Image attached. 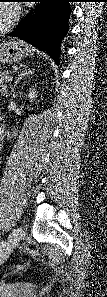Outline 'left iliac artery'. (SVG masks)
I'll return each instance as SVG.
<instances>
[{"instance_id":"obj_1","label":"left iliac artery","mask_w":107,"mask_h":297,"mask_svg":"<svg viewBox=\"0 0 107 297\" xmlns=\"http://www.w3.org/2000/svg\"><path fill=\"white\" fill-rule=\"evenodd\" d=\"M5 247V242H1L0 244V251Z\"/></svg>"}]
</instances>
